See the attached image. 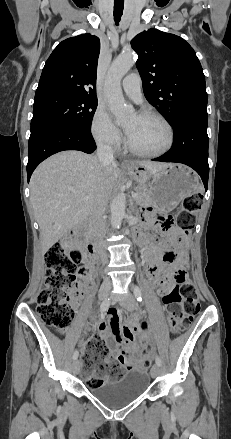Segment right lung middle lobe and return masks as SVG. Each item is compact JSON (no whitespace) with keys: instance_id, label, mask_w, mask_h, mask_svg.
<instances>
[{"instance_id":"dd1d6c3e","label":"right lung middle lobe","mask_w":231,"mask_h":439,"mask_svg":"<svg viewBox=\"0 0 231 439\" xmlns=\"http://www.w3.org/2000/svg\"><path fill=\"white\" fill-rule=\"evenodd\" d=\"M97 98L72 94H52L35 99L31 136L48 128L69 124L91 130Z\"/></svg>"}]
</instances>
